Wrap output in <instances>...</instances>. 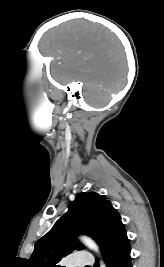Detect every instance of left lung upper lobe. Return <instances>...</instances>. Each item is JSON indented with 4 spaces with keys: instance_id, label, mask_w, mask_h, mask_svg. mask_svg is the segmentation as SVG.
Instances as JSON below:
<instances>
[{
    "instance_id": "left-lung-upper-lobe-1",
    "label": "left lung upper lobe",
    "mask_w": 164,
    "mask_h": 267,
    "mask_svg": "<svg viewBox=\"0 0 164 267\" xmlns=\"http://www.w3.org/2000/svg\"><path fill=\"white\" fill-rule=\"evenodd\" d=\"M121 225L119 213L105 196L79 193L68 211L36 242L28 263L30 267H58L56 263L62 257L74 249L85 248L74 236L82 233L91 236L101 248Z\"/></svg>"
}]
</instances>
